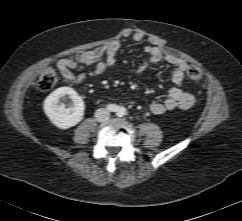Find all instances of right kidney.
Instances as JSON below:
<instances>
[{
  "label": "right kidney",
  "mask_w": 242,
  "mask_h": 221,
  "mask_svg": "<svg viewBox=\"0 0 242 221\" xmlns=\"http://www.w3.org/2000/svg\"><path fill=\"white\" fill-rule=\"evenodd\" d=\"M43 108L53 125L68 129L83 119L85 105L73 88L60 87L47 96Z\"/></svg>",
  "instance_id": "right-kidney-1"
}]
</instances>
